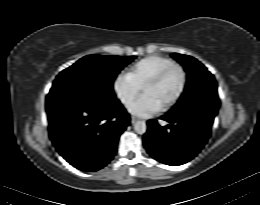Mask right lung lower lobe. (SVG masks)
<instances>
[{"mask_svg":"<svg viewBox=\"0 0 260 205\" xmlns=\"http://www.w3.org/2000/svg\"><path fill=\"white\" fill-rule=\"evenodd\" d=\"M49 134L74 167L97 171L111 161L130 117L118 100L105 101L73 88L51 89L46 100Z\"/></svg>","mask_w":260,"mask_h":205,"instance_id":"98d812e1","label":"right lung lower lobe"}]
</instances>
